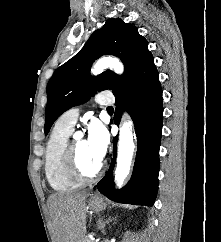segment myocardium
<instances>
[{"instance_id":"obj_1","label":"myocardium","mask_w":221,"mask_h":242,"mask_svg":"<svg viewBox=\"0 0 221 242\" xmlns=\"http://www.w3.org/2000/svg\"><path fill=\"white\" fill-rule=\"evenodd\" d=\"M66 167L70 176H72L75 180L79 182H90L100 175L103 169V163L99 162L97 168L93 172H85L79 164L77 153L74 148V144L72 143L67 146Z\"/></svg>"}]
</instances>
